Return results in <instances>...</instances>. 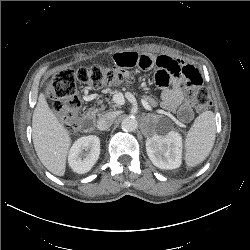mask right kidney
Instances as JSON below:
<instances>
[{
    "mask_svg": "<svg viewBox=\"0 0 250 250\" xmlns=\"http://www.w3.org/2000/svg\"><path fill=\"white\" fill-rule=\"evenodd\" d=\"M99 155L100 140L97 136L80 137L74 142L69 151L68 163L74 172L78 174L87 173L96 163Z\"/></svg>",
    "mask_w": 250,
    "mask_h": 250,
    "instance_id": "1",
    "label": "right kidney"
}]
</instances>
